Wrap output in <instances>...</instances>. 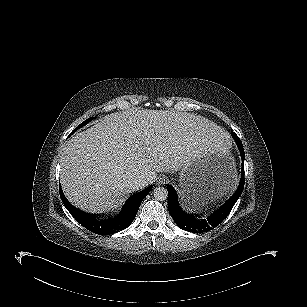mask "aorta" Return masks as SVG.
<instances>
[{
    "mask_svg": "<svg viewBox=\"0 0 307 307\" xmlns=\"http://www.w3.org/2000/svg\"><path fill=\"white\" fill-rule=\"evenodd\" d=\"M154 198L158 201H164L168 198V191L164 187H156L153 192Z\"/></svg>",
    "mask_w": 307,
    "mask_h": 307,
    "instance_id": "obj_1",
    "label": "aorta"
}]
</instances>
